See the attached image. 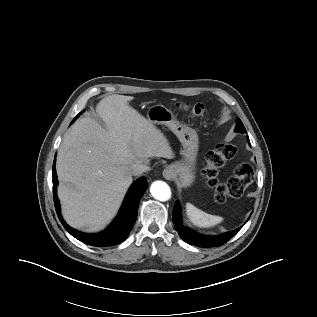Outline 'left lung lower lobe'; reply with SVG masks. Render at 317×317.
<instances>
[{
	"instance_id": "left-lung-lower-lobe-1",
	"label": "left lung lower lobe",
	"mask_w": 317,
	"mask_h": 317,
	"mask_svg": "<svg viewBox=\"0 0 317 317\" xmlns=\"http://www.w3.org/2000/svg\"><path fill=\"white\" fill-rule=\"evenodd\" d=\"M173 222L180 237L185 242L198 247H219L228 242L240 230V228H238L217 236H207L197 233L182 225L181 207L179 201L175 202V207L173 210Z\"/></svg>"
}]
</instances>
